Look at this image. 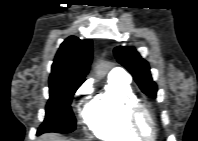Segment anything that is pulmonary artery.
I'll use <instances>...</instances> for the list:
<instances>
[{
  "label": "pulmonary artery",
  "mask_w": 198,
  "mask_h": 141,
  "mask_svg": "<svg viewBox=\"0 0 198 141\" xmlns=\"http://www.w3.org/2000/svg\"><path fill=\"white\" fill-rule=\"evenodd\" d=\"M109 79H115V80H122V81H126L128 82L129 81V75L124 72L123 70L121 69H113L110 73H109V76H108Z\"/></svg>",
  "instance_id": "1"
}]
</instances>
